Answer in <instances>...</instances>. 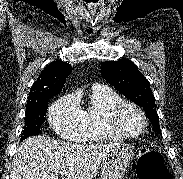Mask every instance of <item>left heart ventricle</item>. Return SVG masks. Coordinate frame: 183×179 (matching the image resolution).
I'll list each match as a JSON object with an SVG mask.
<instances>
[{"label": "left heart ventricle", "instance_id": "left-heart-ventricle-1", "mask_svg": "<svg viewBox=\"0 0 183 179\" xmlns=\"http://www.w3.org/2000/svg\"><path fill=\"white\" fill-rule=\"evenodd\" d=\"M118 126L123 132L132 134L142 128L143 121L140 114L135 109L126 107L118 118Z\"/></svg>", "mask_w": 183, "mask_h": 179}]
</instances>
